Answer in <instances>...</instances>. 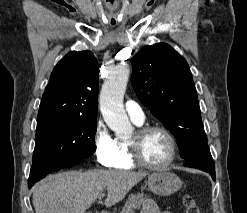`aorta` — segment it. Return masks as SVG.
Instances as JSON below:
<instances>
[{
    "instance_id": "aorta-1",
    "label": "aorta",
    "mask_w": 247,
    "mask_h": 213,
    "mask_svg": "<svg viewBox=\"0 0 247 213\" xmlns=\"http://www.w3.org/2000/svg\"><path fill=\"white\" fill-rule=\"evenodd\" d=\"M129 74L127 64L118 65L104 82L99 97L103 118L119 137L129 136L133 131L123 105Z\"/></svg>"
}]
</instances>
